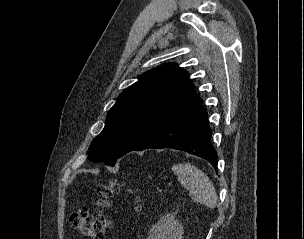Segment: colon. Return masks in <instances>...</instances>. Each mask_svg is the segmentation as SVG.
<instances>
[{
    "label": "colon",
    "mask_w": 304,
    "mask_h": 239,
    "mask_svg": "<svg viewBox=\"0 0 304 239\" xmlns=\"http://www.w3.org/2000/svg\"><path fill=\"white\" fill-rule=\"evenodd\" d=\"M123 187V183L117 180L100 185L97 188V215L92 216L85 207L74 210L69 216L71 227L84 237L90 239H104L106 232L112 225L109 216L112 200ZM137 204V209L140 210L141 206L139 198H137Z\"/></svg>",
    "instance_id": "colon-1"
}]
</instances>
